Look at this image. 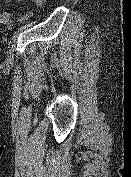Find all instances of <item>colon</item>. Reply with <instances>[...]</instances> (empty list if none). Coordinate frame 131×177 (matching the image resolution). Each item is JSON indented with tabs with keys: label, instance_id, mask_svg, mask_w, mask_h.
Listing matches in <instances>:
<instances>
[{
	"label": "colon",
	"instance_id": "colon-1",
	"mask_svg": "<svg viewBox=\"0 0 131 177\" xmlns=\"http://www.w3.org/2000/svg\"><path fill=\"white\" fill-rule=\"evenodd\" d=\"M40 4H42L43 2H45V0H39L38 1Z\"/></svg>",
	"mask_w": 131,
	"mask_h": 177
}]
</instances>
